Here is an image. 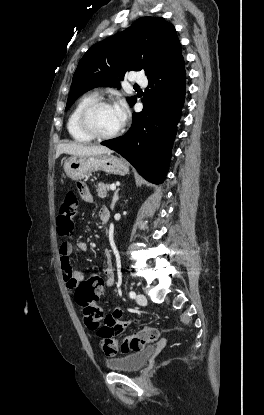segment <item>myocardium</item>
I'll return each instance as SVG.
<instances>
[{"label": "myocardium", "mask_w": 264, "mask_h": 415, "mask_svg": "<svg viewBox=\"0 0 264 415\" xmlns=\"http://www.w3.org/2000/svg\"><path fill=\"white\" fill-rule=\"evenodd\" d=\"M104 106H115V104L110 100L98 99L86 105L79 113L78 125L80 129L92 139H96V140L114 139V138L119 137L124 131L125 120L122 121L121 126L115 132L111 134L104 135L96 131V129L91 123V116L96 110Z\"/></svg>", "instance_id": "1"}]
</instances>
